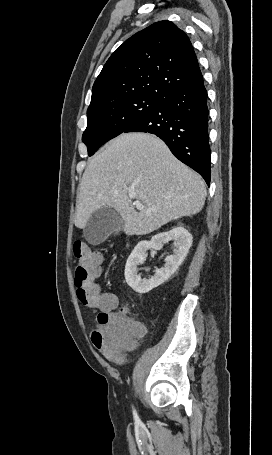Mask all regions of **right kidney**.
<instances>
[{
	"label": "right kidney",
	"instance_id": "ca27d5eb",
	"mask_svg": "<svg viewBox=\"0 0 272 455\" xmlns=\"http://www.w3.org/2000/svg\"><path fill=\"white\" fill-rule=\"evenodd\" d=\"M174 241L173 255L165 258V265L155 270L154 276L142 279L138 274V265L143 264L148 249L160 250L163 243ZM192 245V235L183 226H177L168 232L159 233L150 241L139 242L127 259L125 279L127 284L140 294L147 293L163 284L179 268Z\"/></svg>",
	"mask_w": 272,
	"mask_h": 455
}]
</instances>
